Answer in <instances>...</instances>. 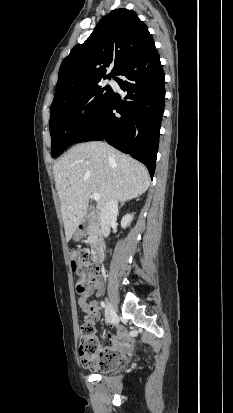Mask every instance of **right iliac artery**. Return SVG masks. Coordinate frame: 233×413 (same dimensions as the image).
<instances>
[{"label": "right iliac artery", "mask_w": 233, "mask_h": 413, "mask_svg": "<svg viewBox=\"0 0 233 413\" xmlns=\"http://www.w3.org/2000/svg\"><path fill=\"white\" fill-rule=\"evenodd\" d=\"M101 306H102V308H104V307H105V303H104V302H101Z\"/></svg>", "instance_id": "obj_1"}]
</instances>
